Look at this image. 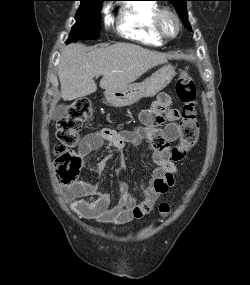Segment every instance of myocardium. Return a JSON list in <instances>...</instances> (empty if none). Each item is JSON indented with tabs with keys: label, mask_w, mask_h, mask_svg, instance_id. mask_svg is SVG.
Instances as JSON below:
<instances>
[{
	"label": "myocardium",
	"mask_w": 250,
	"mask_h": 285,
	"mask_svg": "<svg viewBox=\"0 0 250 285\" xmlns=\"http://www.w3.org/2000/svg\"><path fill=\"white\" fill-rule=\"evenodd\" d=\"M167 17L171 18L175 23V32L171 35L167 34L163 28V21ZM153 29L161 40H170L174 39L179 34L181 29V22L178 15L174 11L167 8H162L157 11L153 18Z\"/></svg>",
	"instance_id": "myocardium-1"
}]
</instances>
